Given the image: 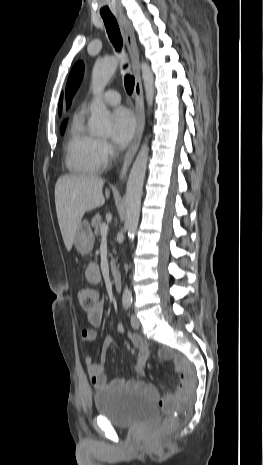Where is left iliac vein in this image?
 Wrapping results in <instances>:
<instances>
[{
	"instance_id": "obj_1",
	"label": "left iliac vein",
	"mask_w": 263,
	"mask_h": 465,
	"mask_svg": "<svg viewBox=\"0 0 263 465\" xmlns=\"http://www.w3.org/2000/svg\"><path fill=\"white\" fill-rule=\"evenodd\" d=\"M131 326L134 329H138L140 327L139 319L134 314L131 316Z\"/></svg>"
}]
</instances>
